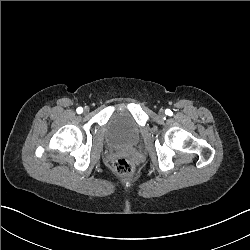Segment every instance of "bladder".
I'll return each mask as SVG.
<instances>
[{
	"label": "bladder",
	"mask_w": 250,
	"mask_h": 250,
	"mask_svg": "<svg viewBox=\"0 0 250 250\" xmlns=\"http://www.w3.org/2000/svg\"><path fill=\"white\" fill-rule=\"evenodd\" d=\"M104 135L105 140L116 148L135 145L140 137V128L134 111L129 107H112Z\"/></svg>",
	"instance_id": "bladder-1"
}]
</instances>
